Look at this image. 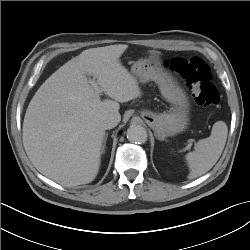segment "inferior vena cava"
Returning a JSON list of instances; mask_svg holds the SVG:
<instances>
[{
    "mask_svg": "<svg viewBox=\"0 0 250 250\" xmlns=\"http://www.w3.org/2000/svg\"><path fill=\"white\" fill-rule=\"evenodd\" d=\"M119 121H120L119 117H117L113 114H110V115L105 116L102 119L101 125L105 130H107V129H111V128H114L115 126H117Z\"/></svg>",
    "mask_w": 250,
    "mask_h": 250,
    "instance_id": "obj_1",
    "label": "inferior vena cava"
}]
</instances>
